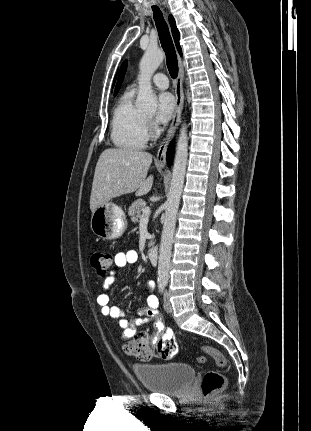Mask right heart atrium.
<instances>
[{
	"label": "right heart atrium",
	"instance_id": "d8ad5b80",
	"mask_svg": "<svg viewBox=\"0 0 311 431\" xmlns=\"http://www.w3.org/2000/svg\"><path fill=\"white\" fill-rule=\"evenodd\" d=\"M148 126L150 127V129L154 130L155 129V125L152 121H148Z\"/></svg>",
	"mask_w": 311,
	"mask_h": 431
}]
</instances>
